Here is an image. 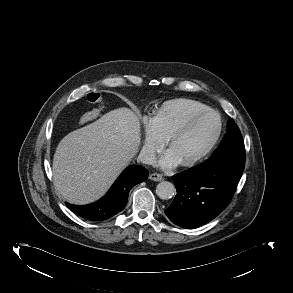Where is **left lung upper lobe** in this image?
Listing matches in <instances>:
<instances>
[{
  "label": "left lung upper lobe",
  "instance_id": "1",
  "mask_svg": "<svg viewBox=\"0 0 293 293\" xmlns=\"http://www.w3.org/2000/svg\"><path fill=\"white\" fill-rule=\"evenodd\" d=\"M228 133L223 138L221 145L214 151L212 156L205 161V163L217 160L220 156L223 148H236L244 147V141L240 130L233 119L228 120Z\"/></svg>",
  "mask_w": 293,
  "mask_h": 293
}]
</instances>
